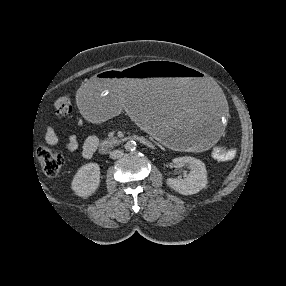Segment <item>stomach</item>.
<instances>
[{"mask_svg": "<svg viewBox=\"0 0 286 286\" xmlns=\"http://www.w3.org/2000/svg\"><path fill=\"white\" fill-rule=\"evenodd\" d=\"M77 105L85 117L102 121L126 108L137 126L181 154L214 146L227 119L226 103L208 78L167 60L102 68L82 84Z\"/></svg>", "mask_w": 286, "mask_h": 286, "instance_id": "stomach-1", "label": "stomach"}]
</instances>
